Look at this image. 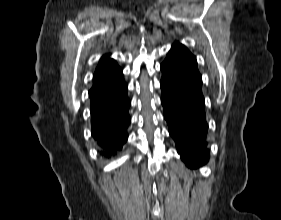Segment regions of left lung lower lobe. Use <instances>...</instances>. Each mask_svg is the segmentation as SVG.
Here are the masks:
<instances>
[{
    "mask_svg": "<svg viewBox=\"0 0 281 220\" xmlns=\"http://www.w3.org/2000/svg\"><path fill=\"white\" fill-rule=\"evenodd\" d=\"M161 71V102L169 133L185 164L198 168L207 163L209 152L202 77L196 57L185 47H174L161 64Z\"/></svg>",
    "mask_w": 281,
    "mask_h": 220,
    "instance_id": "obj_1",
    "label": "left lung lower lobe"
}]
</instances>
